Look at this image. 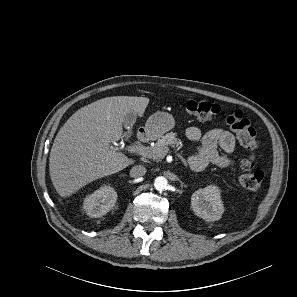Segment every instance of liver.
Returning a JSON list of instances; mask_svg holds the SVG:
<instances>
[{"label": "liver", "mask_w": 297, "mask_h": 297, "mask_svg": "<svg viewBox=\"0 0 297 297\" xmlns=\"http://www.w3.org/2000/svg\"><path fill=\"white\" fill-rule=\"evenodd\" d=\"M148 103L146 97H106L80 108L65 122L49 156L50 177L61 197L135 162L111 143L122 136L124 116L133 112L143 117Z\"/></svg>", "instance_id": "6515ba94"}]
</instances>
